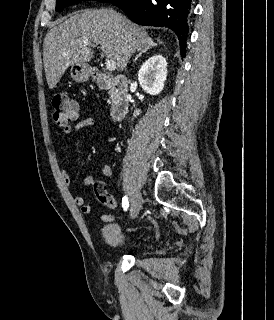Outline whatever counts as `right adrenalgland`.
I'll return each mask as SVG.
<instances>
[{
	"label": "right adrenal gland",
	"mask_w": 274,
	"mask_h": 320,
	"mask_svg": "<svg viewBox=\"0 0 274 320\" xmlns=\"http://www.w3.org/2000/svg\"><path fill=\"white\" fill-rule=\"evenodd\" d=\"M150 44H151V46H149V48H147V50H145V52H140V54H138V56H136L134 62H136V60H138V58H141V56H143V54H146V52H148V50H150V48H153V46H157V44H154L153 40H151Z\"/></svg>",
	"instance_id": "right-adrenal-gland-1"
}]
</instances>
